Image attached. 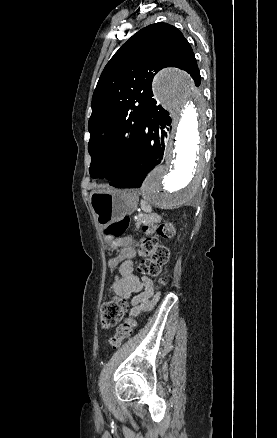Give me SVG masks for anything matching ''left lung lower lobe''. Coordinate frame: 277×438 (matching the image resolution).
Here are the masks:
<instances>
[{
  "label": "left lung lower lobe",
  "instance_id": "1",
  "mask_svg": "<svg viewBox=\"0 0 277 438\" xmlns=\"http://www.w3.org/2000/svg\"><path fill=\"white\" fill-rule=\"evenodd\" d=\"M171 118L161 106L156 105L153 99L148 104L140 139L134 156L130 160L124 173L110 185L118 188H138L146 175L163 159L165 139Z\"/></svg>",
  "mask_w": 277,
  "mask_h": 438
}]
</instances>
